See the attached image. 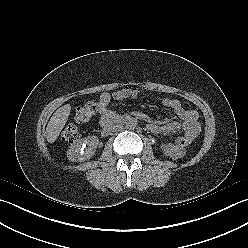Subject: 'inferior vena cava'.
I'll use <instances>...</instances> for the list:
<instances>
[{
	"label": "inferior vena cava",
	"instance_id": "602c4592",
	"mask_svg": "<svg viewBox=\"0 0 248 248\" xmlns=\"http://www.w3.org/2000/svg\"><path fill=\"white\" fill-rule=\"evenodd\" d=\"M122 128L121 127H118L115 129V131H120Z\"/></svg>",
	"mask_w": 248,
	"mask_h": 248
}]
</instances>
